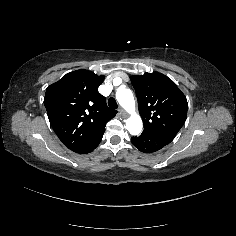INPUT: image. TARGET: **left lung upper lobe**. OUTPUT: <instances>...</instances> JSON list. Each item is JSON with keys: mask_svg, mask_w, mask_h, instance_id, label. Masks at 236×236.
<instances>
[{"mask_svg": "<svg viewBox=\"0 0 236 236\" xmlns=\"http://www.w3.org/2000/svg\"><path fill=\"white\" fill-rule=\"evenodd\" d=\"M131 83L138 99L143 133L174 138L187 115L188 103L182 91L158 72L131 76Z\"/></svg>", "mask_w": 236, "mask_h": 236, "instance_id": "obj_1", "label": "left lung upper lobe"}]
</instances>
